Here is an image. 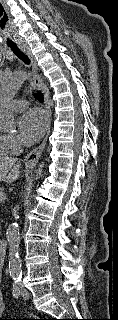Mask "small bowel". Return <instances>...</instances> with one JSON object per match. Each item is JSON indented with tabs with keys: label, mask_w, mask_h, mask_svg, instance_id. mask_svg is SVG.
Segmentation results:
<instances>
[{
	"label": "small bowel",
	"mask_w": 118,
	"mask_h": 320,
	"mask_svg": "<svg viewBox=\"0 0 118 320\" xmlns=\"http://www.w3.org/2000/svg\"><path fill=\"white\" fill-rule=\"evenodd\" d=\"M1 281H2V265H0V283ZM3 310H4V302H3L2 291L0 289V316L2 315Z\"/></svg>",
	"instance_id": "small-bowel-1"
}]
</instances>
